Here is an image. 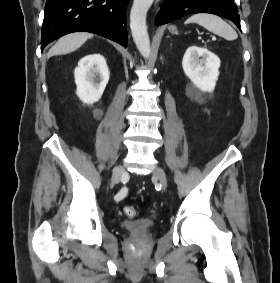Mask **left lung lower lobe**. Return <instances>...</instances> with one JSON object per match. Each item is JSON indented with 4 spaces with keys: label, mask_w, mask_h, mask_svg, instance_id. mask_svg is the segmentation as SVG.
Instances as JSON below:
<instances>
[{
    "label": "left lung lower lobe",
    "mask_w": 280,
    "mask_h": 283,
    "mask_svg": "<svg viewBox=\"0 0 280 283\" xmlns=\"http://www.w3.org/2000/svg\"><path fill=\"white\" fill-rule=\"evenodd\" d=\"M194 13H211L232 20L239 29L240 17L234 0H163L155 19L162 25Z\"/></svg>",
    "instance_id": "0a47b994"
}]
</instances>
